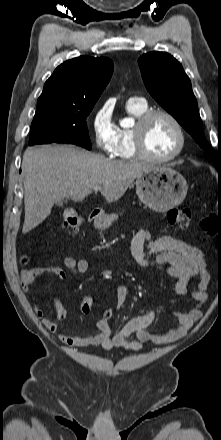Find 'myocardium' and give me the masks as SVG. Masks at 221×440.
<instances>
[{"label": "myocardium", "mask_w": 221, "mask_h": 440, "mask_svg": "<svg viewBox=\"0 0 221 440\" xmlns=\"http://www.w3.org/2000/svg\"><path fill=\"white\" fill-rule=\"evenodd\" d=\"M157 116L166 117L174 125L178 134V145L175 151L166 157H156L150 154L144 142L146 125L150 120ZM132 136L136 155L141 159L156 163H166L176 159L183 152L186 144V137L182 124L171 112L164 109L148 110L137 117L136 123L132 128Z\"/></svg>", "instance_id": "obj_1"}]
</instances>
